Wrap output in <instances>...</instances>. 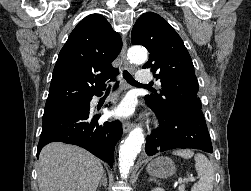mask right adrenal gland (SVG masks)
<instances>
[{"label":"right adrenal gland","instance_id":"right-adrenal-gland-1","mask_svg":"<svg viewBox=\"0 0 251 191\" xmlns=\"http://www.w3.org/2000/svg\"><path fill=\"white\" fill-rule=\"evenodd\" d=\"M101 185H104V187H106V185H107V175H106V173H103V177H102L101 181H99V189H97V191H100Z\"/></svg>","mask_w":251,"mask_h":191}]
</instances>
